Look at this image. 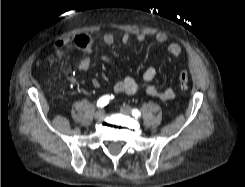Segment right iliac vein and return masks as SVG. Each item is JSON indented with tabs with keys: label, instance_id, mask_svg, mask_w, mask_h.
Segmentation results:
<instances>
[{
	"label": "right iliac vein",
	"instance_id": "right-iliac-vein-1",
	"mask_svg": "<svg viewBox=\"0 0 245 187\" xmlns=\"http://www.w3.org/2000/svg\"><path fill=\"white\" fill-rule=\"evenodd\" d=\"M104 115V110L100 109L94 114L95 119H101Z\"/></svg>",
	"mask_w": 245,
	"mask_h": 187
}]
</instances>
